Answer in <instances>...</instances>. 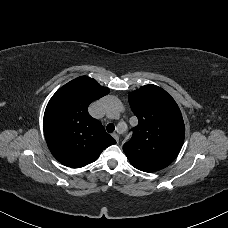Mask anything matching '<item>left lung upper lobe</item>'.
<instances>
[{
  "mask_svg": "<svg viewBox=\"0 0 228 228\" xmlns=\"http://www.w3.org/2000/svg\"><path fill=\"white\" fill-rule=\"evenodd\" d=\"M130 107L138 118L123 151L131 164L152 172L170 165L179 154L185 136L180 109L162 88L145 85L129 94Z\"/></svg>",
  "mask_w": 228,
  "mask_h": 228,
  "instance_id": "left-lung-upper-lobe-1",
  "label": "left lung upper lobe"
}]
</instances>
